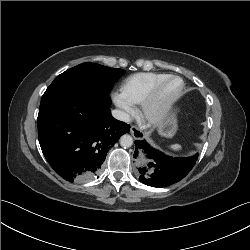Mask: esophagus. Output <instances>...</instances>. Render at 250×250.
<instances>
[{"label":"esophagus","mask_w":250,"mask_h":250,"mask_svg":"<svg viewBox=\"0 0 250 250\" xmlns=\"http://www.w3.org/2000/svg\"><path fill=\"white\" fill-rule=\"evenodd\" d=\"M130 133L135 139H142L144 137V133L136 126H131Z\"/></svg>","instance_id":"1"}]
</instances>
